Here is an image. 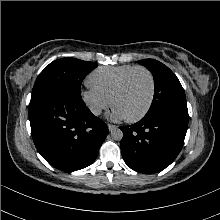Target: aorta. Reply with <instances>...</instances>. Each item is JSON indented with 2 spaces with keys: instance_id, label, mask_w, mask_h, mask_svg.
Masks as SVG:
<instances>
[{
  "instance_id": "obj_1",
  "label": "aorta",
  "mask_w": 220,
  "mask_h": 220,
  "mask_svg": "<svg viewBox=\"0 0 220 220\" xmlns=\"http://www.w3.org/2000/svg\"><path fill=\"white\" fill-rule=\"evenodd\" d=\"M111 137L114 140L120 141L123 137V132L119 128H115L111 131Z\"/></svg>"
}]
</instances>
